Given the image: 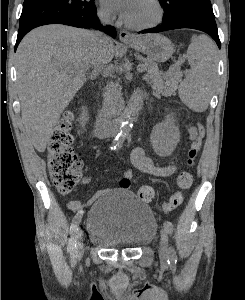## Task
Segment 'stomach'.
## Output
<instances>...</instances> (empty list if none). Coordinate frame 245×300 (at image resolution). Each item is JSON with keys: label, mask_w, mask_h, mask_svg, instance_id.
Instances as JSON below:
<instances>
[{"label": "stomach", "mask_w": 245, "mask_h": 300, "mask_svg": "<svg viewBox=\"0 0 245 300\" xmlns=\"http://www.w3.org/2000/svg\"><path fill=\"white\" fill-rule=\"evenodd\" d=\"M127 44L156 62L167 61L174 52L172 42L161 34L144 35L137 38L135 42Z\"/></svg>", "instance_id": "stomach-1"}]
</instances>
